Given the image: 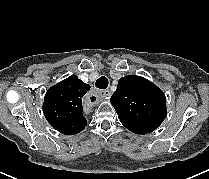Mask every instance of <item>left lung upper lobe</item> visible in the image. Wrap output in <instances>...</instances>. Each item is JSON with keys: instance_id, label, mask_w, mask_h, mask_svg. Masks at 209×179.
Wrapping results in <instances>:
<instances>
[{"instance_id": "obj_1", "label": "left lung upper lobe", "mask_w": 209, "mask_h": 179, "mask_svg": "<svg viewBox=\"0 0 209 179\" xmlns=\"http://www.w3.org/2000/svg\"><path fill=\"white\" fill-rule=\"evenodd\" d=\"M110 101L121 123L142 134L159 127L167 114L165 94L141 76L121 78Z\"/></svg>"}]
</instances>
